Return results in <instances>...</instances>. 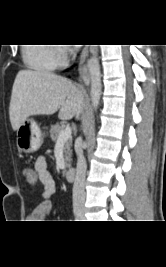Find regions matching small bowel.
I'll list each match as a JSON object with an SVG mask.
<instances>
[{
  "label": "small bowel",
  "instance_id": "c3829d8e",
  "mask_svg": "<svg viewBox=\"0 0 166 267\" xmlns=\"http://www.w3.org/2000/svg\"><path fill=\"white\" fill-rule=\"evenodd\" d=\"M34 170L37 171V177L42 187V200L29 213L28 218L34 222L45 220L53 209L52 196L56 191V182L47 167V161L44 156L37 158Z\"/></svg>",
  "mask_w": 166,
  "mask_h": 267
}]
</instances>
